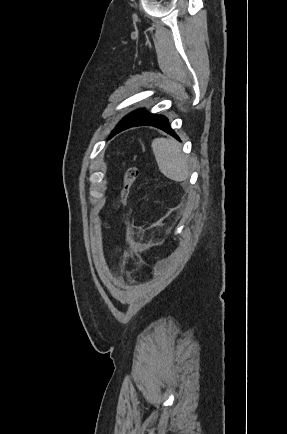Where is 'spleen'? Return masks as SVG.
<instances>
[{
  "instance_id": "1",
  "label": "spleen",
  "mask_w": 287,
  "mask_h": 434,
  "mask_svg": "<svg viewBox=\"0 0 287 434\" xmlns=\"http://www.w3.org/2000/svg\"><path fill=\"white\" fill-rule=\"evenodd\" d=\"M152 149L163 175L176 182H183L189 177L187 158L176 140L156 138L152 141Z\"/></svg>"
}]
</instances>
